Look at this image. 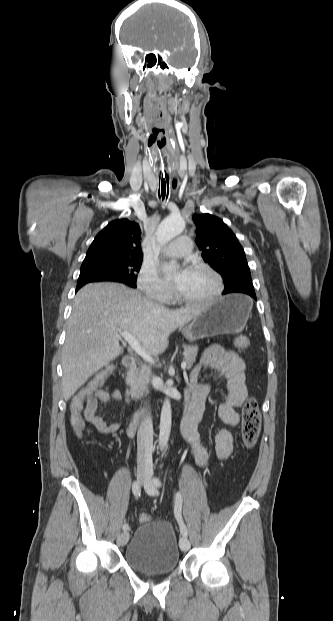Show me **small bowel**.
Wrapping results in <instances>:
<instances>
[{
	"label": "small bowel",
	"instance_id": "obj_1",
	"mask_svg": "<svg viewBox=\"0 0 333 621\" xmlns=\"http://www.w3.org/2000/svg\"><path fill=\"white\" fill-rule=\"evenodd\" d=\"M215 370L220 377L226 380L228 392L226 401L219 407L221 419L233 427L239 422V408L248 397L246 385V365L243 359L234 351L212 346L205 350L199 364L191 371L189 386L193 391V402L186 417L183 419L181 432L190 446L191 454L196 464L205 468L208 465V454L197 439L195 423L201 418L204 403L211 391V384L207 381L199 382L198 376L202 368ZM122 394L118 390L98 389L85 399L83 407L84 423L89 432L93 429L102 434L116 432L120 425L116 421L106 423L97 415L98 403L105 406L111 400H121ZM234 437L229 429L220 430L215 436L216 453L219 459L226 460L233 451Z\"/></svg>",
	"mask_w": 333,
	"mask_h": 621
}]
</instances>
